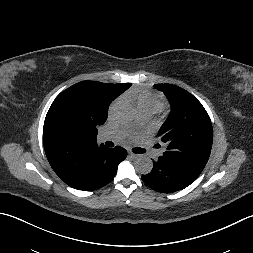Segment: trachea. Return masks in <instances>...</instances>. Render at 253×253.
Wrapping results in <instances>:
<instances>
[{
  "label": "trachea",
  "instance_id": "trachea-1",
  "mask_svg": "<svg viewBox=\"0 0 253 253\" xmlns=\"http://www.w3.org/2000/svg\"><path fill=\"white\" fill-rule=\"evenodd\" d=\"M132 151H133L134 153H137V154H143V153L145 152V149L136 147V148H133Z\"/></svg>",
  "mask_w": 253,
  "mask_h": 253
}]
</instances>
